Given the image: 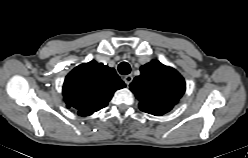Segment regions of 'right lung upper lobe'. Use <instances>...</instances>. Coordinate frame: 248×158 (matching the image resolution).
<instances>
[{
    "mask_svg": "<svg viewBox=\"0 0 248 158\" xmlns=\"http://www.w3.org/2000/svg\"><path fill=\"white\" fill-rule=\"evenodd\" d=\"M124 87L113 68L92 60L67 75L63 99L67 108H74L78 115L85 117L106 107L114 92Z\"/></svg>",
    "mask_w": 248,
    "mask_h": 158,
    "instance_id": "obj_1",
    "label": "right lung upper lobe"
}]
</instances>
